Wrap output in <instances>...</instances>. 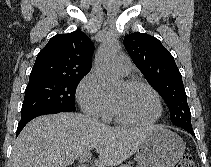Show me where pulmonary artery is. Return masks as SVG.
Instances as JSON below:
<instances>
[{
  "label": "pulmonary artery",
  "mask_w": 211,
  "mask_h": 167,
  "mask_svg": "<svg viewBox=\"0 0 211 167\" xmlns=\"http://www.w3.org/2000/svg\"><path fill=\"white\" fill-rule=\"evenodd\" d=\"M115 69L123 75H128L132 69V63L128 56L118 55L114 60Z\"/></svg>",
  "instance_id": "1"
}]
</instances>
